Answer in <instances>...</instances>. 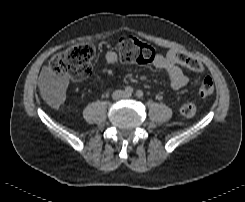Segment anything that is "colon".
<instances>
[{"label":"colon","mask_w":245,"mask_h":202,"mask_svg":"<svg viewBox=\"0 0 245 202\" xmlns=\"http://www.w3.org/2000/svg\"><path fill=\"white\" fill-rule=\"evenodd\" d=\"M118 52L120 58L132 65H142L152 62L157 52L155 48L145 41L134 37L124 36L119 40ZM95 55V47L91 43H79L55 54L50 60V69L54 74L63 75L73 81H82L92 72V60ZM177 63L187 67L191 71L201 72V62L187 52L179 51L176 54ZM214 93V84L210 77H205L200 85L199 94L209 97ZM48 102L59 106L64 101V92L61 88L54 87L45 91ZM181 114L185 118H192L196 114L193 103H186L181 108Z\"/></svg>","instance_id":"1"}]
</instances>
